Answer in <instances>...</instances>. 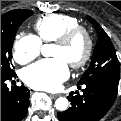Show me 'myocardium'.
I'll return each mask as SVG.
<instances>
[{
    "label": "myocardium",
    "instance_id": "1",
    "mask_svg": "<svg viewBox=\"0 0 121 121\" xmlns=\"http://www.w3.org/2000/svg\"><path fill=\"white\" fill-rule=\"evenodd\" d=\"M77 36H83L86 45L83 56L79 60L69 63L73 69H79L83 67L90 60L94 47L91 33L88 31L87 28L79 25L66 31L55 41L56 44L66 46L70 44Z\"/></svg>",
    "mask_w": 121,
    "mask_h": 121
}]
</instances>
